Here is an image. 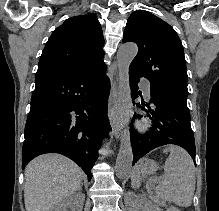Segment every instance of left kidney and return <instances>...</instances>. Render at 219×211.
Returning <instances> with one entry per match:
<instances>
[{
    "instance_id": "obj_1",
    "label": "left kidney",
    "mask_w": 219,
    "mask_h": 211,
    "mask_svg": "<svg viewBox=\"0 0 219 211\" xmlns=\"http://www.w3.org/2000/svg\"><path fill=\"white\" fill-rule=\"evenodd\" d=\"M135 199H137V205H140V207H145V203H143L142 199H140V197H135ZM149 209H147V211H151L150 207L151 205H148ZM154 207V211H161L160 207H158V205H153Z\"/></svg>"
}]
</instances>
